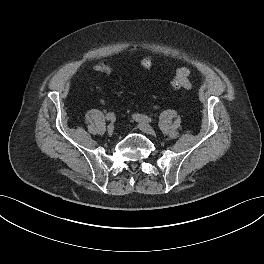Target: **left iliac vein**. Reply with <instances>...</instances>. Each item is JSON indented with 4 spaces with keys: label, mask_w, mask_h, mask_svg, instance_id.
Masks as SVG:
<instances>
[{
    "label": "left iliac vein",
    "mask_w": 264,
    "mask_h": 264,
    "mask_svg": "<svg viewBox=\"0 0 264 264\" xmlns=\"http://www.w3.org/2000/svg\"><path fill=\"white\" fill-rule=\"evenodd\" d=\"M138 127L140 130H142L143 132H145L147 134H153L154 133L153 127L146 122L139 121Z\"/></svg>",
    "instance_id": "4c4485c4"
}]
</instances>
